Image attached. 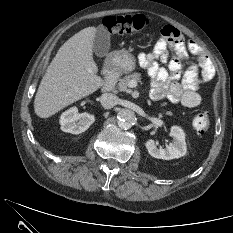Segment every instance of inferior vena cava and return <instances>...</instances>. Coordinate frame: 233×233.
I'll use <instances>...</instances> for the list:
<instances>
[{"mask_svg": "<svg viewBox=\"0 0 233 233\" xmlns=\"http://www.w3.org/2000/svg\"><path fill=\"white\" fill-rule=\"evenodd\" d=\"M101 105L106 109H111L118 103V97L112 93H104L100 97Z\"/></svg>", "mask_w": 233, "mask_h": 233, "instance_id": "inferior-vena-cava-1", "label": "inferior vena cava"}]
</instances>
